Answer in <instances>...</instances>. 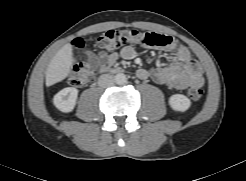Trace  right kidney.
I'll return each instance as SVG.
<instances>
[{
    "label": "right kidney",
    "mask_w": 246,
    "mask_h": 181,
    "mask_svg": "<svg viewBox=\"0 0 246 181\" xmlns=\"http://www.w3.org/2000/svg\"><path fill=\"white\" fill-rule=\"evenodd\" d=\"M78 90L73 87H67L58 92L54 98L53 103L55 107L61 112H71L77 101Z\"/></svg>",
    "instance_id": "1"
}]
</instances>
